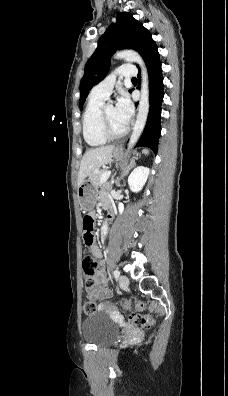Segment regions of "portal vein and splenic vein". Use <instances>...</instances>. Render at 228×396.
Here are the masks:
<instances>
[{
    "label": "portal vein and splenic vein",
    "instance_id": "18ae733b",
    "mask_svg": "<svg viewBox=\"0 0 228 396\" xmlns=\"http://www.w3.org/2000/svg\"><path fill=\"white\" fill-rule=\"evenodd\" d=\"M110 174H111V171H105V172L102 174V177H101V179H100L101 183L106 182L107 179L109 178Z\"/></svg>",
    "mask_w": 228,
    "mask_h": 396
}]
</instances>
